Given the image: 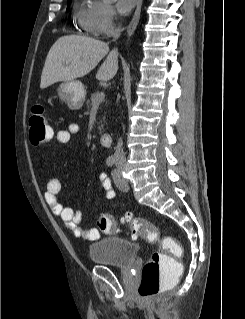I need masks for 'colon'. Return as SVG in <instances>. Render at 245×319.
<instances>
[{"label": "colon", "instance_id": "5ec220e1", "mask_svg": "<svg viewBox=\"0 0 245 319\" xmlns=\"http://www.w3.org/2000/svg\"><path fill=\"white\" fill-rule=\"evenodd\" d=\"M29 136L35 146L47 144L52 139V130L45 119L44 107L40 104L35 105L32 110L29 119ZM123 221L129 224L133 236H142L152 243L159 242L162 248L150 256L142 269L138 292L144 300H151L181 274L182 267L176 264L170 255L180 257L183 249L174 237L160 239L159 229L147 219L128 212L124 215ZM97 225L106 233L117 231V221L107 214L99 216Z\"/></svg>", "mask_w": 245, "mask_h": 319}]
</instances>
